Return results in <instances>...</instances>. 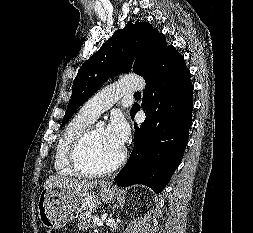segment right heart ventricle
Wrapping results in <instances>:
<instances>
[{
	"instance_id": "obj_1",
	"label": "right heart ventricle",
	"mask_w": 253,
	"mask_h": 233,
	"mask_svg": "<svg viewBox=\"0 0 253 233\" xmlns=\"http://www.w3.org/2000/svg\"><path fill=\"white\" fill-rule=\"evenodd\" d=\"M93 118L81 114L75 115L61 132L54 154V169L62 176H77L69 163L74 142L91 125Z\"/></svg>"
}]
</instances>
